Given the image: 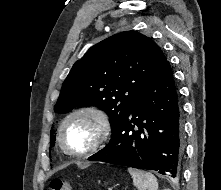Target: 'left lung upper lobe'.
Returning <instances> with one entry per match:
<instances>
[{
    "label": "left lung upper lobe",
    "mask_w": 221,
    "mask_h": 190,
    "mask_svg": "<svg viewBox=\"0 0 221 190\" xmlns=\"http://www.w3.org/2000/svg\"><path fill=\"white\" fill-rule=\"evenodd\" d=\"M166 61L160 47L137 31L111 36L75 62L54 111L63 114L77 106H96L107 113L112 128Z\"/></svg>",
    "instance_id": "obj_1"
}]
</instances>
